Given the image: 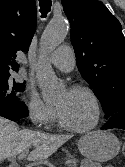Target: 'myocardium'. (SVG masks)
Masks as SVG:
<instances>
[{
	"mask_svg": "<svg viewBox=\"0 0 125 167\" xmlns=\"http://www.w3.org/2000/svg\"><path fill=\"white\" fill-rule=\"evenodd\" d=\"M68 91H70V92H83V93L87 94L94 103L95 118H94V121L86 127H82V128L74 127L65 120L61 111L57 107L58 121H59L60 126L64 129L71 131V132H74V133H85V132L93 130L99 124V121L101 119V104H100L99 98L97 97V95L95 94V92L91 88H89L88 86H85V85H81V84L73 85L72 87L69 88Z\"/></svg>",
	"mask_w": 125,
	"mask_h": 167,
	"instance_id": "f54148a6",
	"label": "myocardium"
}]
</instances>
